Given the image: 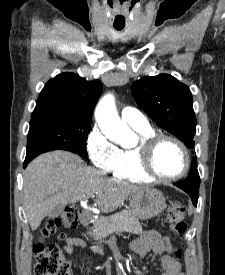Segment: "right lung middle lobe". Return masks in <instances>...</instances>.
Here are the masks:
<instances>
[{
	"instance_id": "obj_1",
	"label": "right lung middle lobe",
	"mask_w": 225,
	"mask_h": 275,
	"mask_svg": "<svg viewBox=\"0 0 225 275\" xmlns=\"http://www.w3.org/2000/svg\"><path fill=\"white\" fill-rule=\"evenodd\" d=\"M91 119L77 117L31 118L26 158L51 150H67L87 158L86 137Z\"/></svg>"
}]
</instances>
